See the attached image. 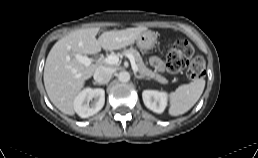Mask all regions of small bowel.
<instances>
[{"instance_id": "obj_1", "label": "small bowel", "mask_w": 258, "mask_h": 158, "mask_svg": "<svg viewBox=\"0 0 258 158\" xmlns=\"http://www.w3.org/2000/svg\"><path fill=\"white\" fill-rule=\"evenodd\" d=\"M150 63L153 67H155L157 70H163L164 69V64L162 60L158 57H152L150 60Z\"/></svg>"}]
</instances>
